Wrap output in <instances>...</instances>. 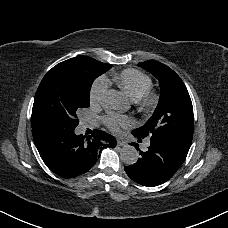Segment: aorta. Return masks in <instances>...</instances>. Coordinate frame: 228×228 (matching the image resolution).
<instances>
[{"label":"aorta","mask_w":228,"mask_h":228,"mask_svg":"<svg viewBox=\"0 0 228 228\" xmlns=\"http://www.w3.org/2000/svg\"><path fill=\"white\" fill-rule=\"evenodd\" d=\"M104 105L108 109L124 111L128 108L127 98L117 90L110 89L106 92ZM121 160L127 165H133L139 158V152L135 147L125 145L120 152Z\"/></svg>","instance_id":"762f6f07"}]
</instances>
